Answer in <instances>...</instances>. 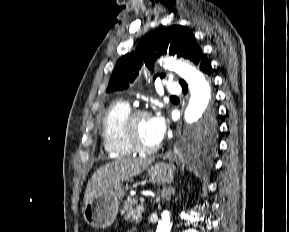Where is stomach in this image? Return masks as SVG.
Listing matches in <instances>:
<instances>
[{"label": "stomach", "mask_w": 289, "mask_h": 232, "mask_svg": "<svg viewBox=\"0 0 289 232\" xmlns=\"http://www.w3.org/2000/svg\"><path fill=\"white\" fill-rule=\"evenodd\" d=\"M175 168L166 163H156L147 169L149 180L152 183H166L173 179ZM125 195L122 185L110 191L95 196L83 207L85 221L92 227L104 229L116 219L120 199Z\"/></svg>", "instance_id": "obj_1"}]
</instances>
